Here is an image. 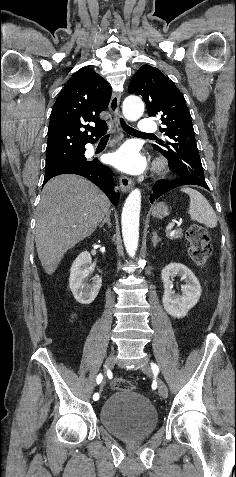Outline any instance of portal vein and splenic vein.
<instances>
[{"instance_id": "1", "label": "portal vein and splenic vein", "mask_w": 236, "mask_h": 477, "mask_svg": "<svg viewBox=\"0 0 236 477\" xmlns=\"http://www.w3.org/2000/svg\"><path fill=\"white\" fill-rule=\"evenodd\" d=\"M177 223V226H180L181 225V222H176ZM174 223H170L167 227H166V231H171L174 227Z\"/></svg>"}]
</instances>
